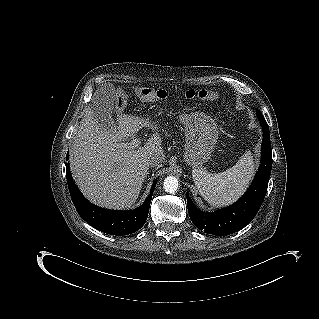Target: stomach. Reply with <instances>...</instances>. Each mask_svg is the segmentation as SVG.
Returning a JSON list of instances; mask_svg holds the SVG:
<instances>
[{
	"instance_id": "1",
	"label": "stomach",
	"mask_w": 319,
	"mask_h": 319,
	"mask_svg": "<svg viewBox=\"0 0 319 319\" xmlns=\"http://www.w3.org/2000/svg\"><path fill=\"white\" fill-rule=\"evenodd\" d=\"M184 161L193 167L202 166L211 156L218 139V129L212 118L195 113L185 118Z\"/></svg>"
}]
</instances>
